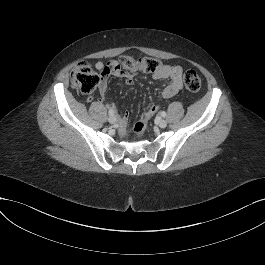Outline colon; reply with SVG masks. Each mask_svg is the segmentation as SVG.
Listing matches in <instances>:
<instances>
[{
    "label": "colon",
    "instance_id": "obj_1",
    "mask_svg": "<svg viewBox=\"0 0 265 265\" xmlns=\"http://www.w3.org/2000/svg\"><path fill=\"white\" fill-rule=\"evenodd\" d=\"M119 66L123 72L128 74H135L138 72L154 73L158 71L163 65L160 60L153 57L135 58L133 56H123L120 58ZM72 85L77 90L84 94L93 92L99 81L100 75L94 69V66L82 61L78 63L71 74ZM183 82L186 89L190 92H196L200 89L201 80L195 70H187L183 75ZM158 111L157 106L150 107L134 125V131L139 138H141L147 128L149 120Z\"/></svg>",
    "mask_w": 265,
    "mask_h": 265
}]
</instances>
